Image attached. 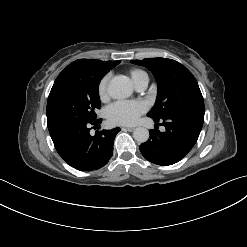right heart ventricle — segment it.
<instances>
[{
    "label": "right heart ventricle",
    "instance_id": "right-heart-ventricle-1",
    "mask_svg": "<svg viewBox=\"0 0 247 247\" xmlns=\"http://www.w3.org/2000/svg\"><path fill=\"white\" fill-rule=\"evenodd\" d=\"M129 74L134 85L142 81L148 82L149 80L148 74L141 69H137V68L131 69L129 71Z\"/></svg>",
    "mask_w": 247,
    "mask_h": 247
}]
</instances>
